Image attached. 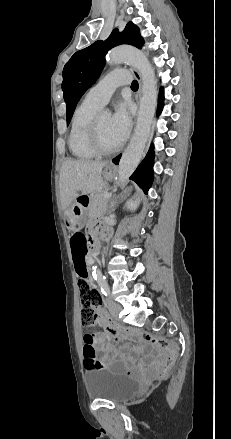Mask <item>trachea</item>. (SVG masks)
I'll return each instance as SVG.
<instances>
[{
  "label": "trachea",
  "instance_id": "3493384b",
  "mask_svg": "<svg viewBox=\"0 0 231 439\" xmlns=\"http://www.w3.org/2000/svg\"><path fill=\"white\" fill-rule=\"evenodd\" d=\"M138 87H139L138 82H137L136 80H134V81L132 82V84H131V88H132V89H138Z\"/></svg>",
  "mask_w": 231,
  "mask_h": 439
}]
</instances>
